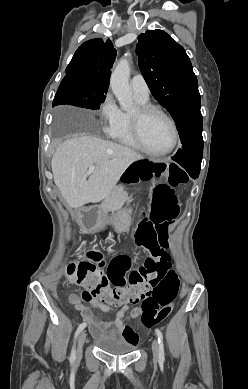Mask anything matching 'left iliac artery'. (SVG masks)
Wrapping results in <instances>:
<instances>
[{"label":"left iliac artery","instance_id":"obj_1","mask_svg":"<svg viewBox=\"0 0 248 389\" xmlns=\"http://www.w3.org/2000/svg\"><path fill=\"white\" fill-rule=\"evenodd\" d=\"M155 332H156V335L158 338V344H159V359H160V361H164L165 356H164L163 335L158 328L155 329Z\"/></svg>","mask_w":248,"mask_h":389}]
</instances>
